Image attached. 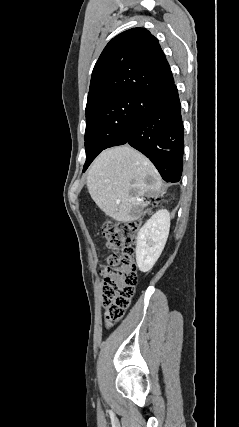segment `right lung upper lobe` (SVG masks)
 <instances>
[{
	"instance_id": "cb5924a9",
	"label": "right lung upper lobe",
	"mask_w": 239,
	"mask_h": 427,
	"mask_svg": "<svg viewBox=\"0 0 239 427\" xmlns=\"http://www.w3.org/2000/svg\"><path fill=\"white\" fill-rule=\"evenodd\" d=\"M173 82L158 39L144 28H132L114 37L101 53L92 72L87 106L104 99L142 96Z\"/></svg>"
}]
</instances>
